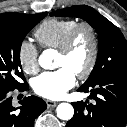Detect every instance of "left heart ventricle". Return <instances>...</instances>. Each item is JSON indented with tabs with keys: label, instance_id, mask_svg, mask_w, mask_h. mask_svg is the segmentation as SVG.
I'll list each match as a JSON object with an SVG mask.
<instances>
[{
	"label": "left heart ventricle",
	"instance_id": "obj_1",
	"mask_svg": "<svg viewBox=\"0 0 127 127\" xmlns=\"http://www.w3.org/2000/svg\"><path fill=\"white\" fill-rule=\"evenodd\" d=\"M91 41L87 32H82L76 39L68 55L57 54L56 68L67 67L74 74L83 71L89 61Z\"/></svg>",
	"mask_w": 127,
	"mask_h": 127
}]
</instances>
